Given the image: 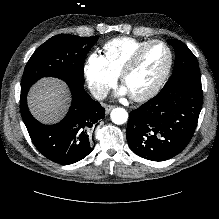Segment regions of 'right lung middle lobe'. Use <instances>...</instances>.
Wrapping results in <instances>:
<instances>
[{
    "label": "right lung middle lobe",
    "instance_id": "right-lung-middle-lobe-1",
    "mask_svg": "<svg viewBox=\"0 0 219 219\" xmlns=\"http://www.w3.org/2000/svg\"><path fill=\"white\" fill-rule=\"evenodd\" d=\"M98 38L60 34L47 40L29 59L21 81V92L28 91L42 77L83 84L85 57Z\"/></svg>",
    "mask_w": 219,
    "mask_h": 219
}]
</instances>
